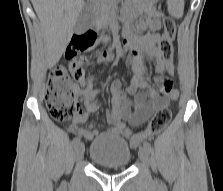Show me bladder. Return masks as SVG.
<instances>
[{
	"label": "bladder",
	"mask_w": 223,
	"mask_h": 191,
	"mask_svg": "<svg viewBox=\"0 0 223 191\" xmlns=\"http://www.w3.org/2000/svg\"><path fill=\"white\" fill-rule=\"evenodd\" d=\"M91 160L99 166H128L132 151L127 141L117 135H104L95 139L90 145Z\"/></svg>",
	"instance_id": "obj_1"
}]
</instances>
